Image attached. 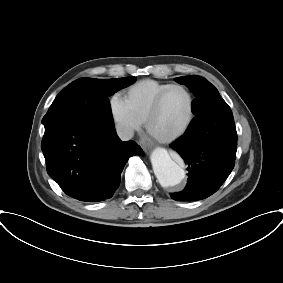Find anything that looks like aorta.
Segmentation results:
<instances>
[{
    "instance_id": "762f6f07",
    "label": "aorta",
    "mask_w": 283,
    "mask_h": 283,
    "mask_svg": "<svg viewBox=\"0 0 283 283\" xmlns=\"http://www.w3.org/2000/svg\"><path fill=\"white\" fill-rule=\"evenodd\" d=\"M153 171L163 187H173L182 182L184 169L175 162L163 148H157L151 154Z\"/></svg>"
}]
</instances>
